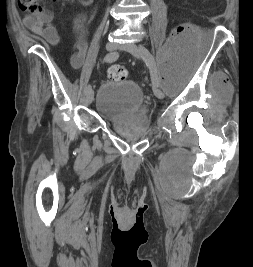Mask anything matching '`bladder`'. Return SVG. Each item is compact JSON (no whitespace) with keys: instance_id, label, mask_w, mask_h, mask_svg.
I'll list each match as a JSON object with an SVG mask.
<instances>
[{"instance_id":"bladder-1","label":"bladder","mask_w":253,"mask_h":267,"mask_svg":"<svg viewBox=\"0 0 253 267\" xmlns=\"http://www.w3.org/2000/svg\"><path fill=\"white\" fill-rule=\"evenodd\" d=\"M145 98L140 86L131 80L107 81L97 94V110L110 117L137 111Z\"/></svg>"}]
</instances>
